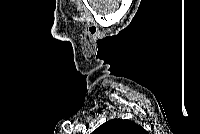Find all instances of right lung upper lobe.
Masks as SVG:
<instances>
[{
    "instance_id": "1",
    "label": "right lung upper lobe",
    "mask_w": 200,
    "mask_h": 134,
    "mask_svg": "<svg viewBox=\"0 0 200 134\" xmlns=\"http://www.w3.org/2000/svg\"><path fill=\"white\" fill-rule=\"evenodd\" d=\"M145 134L146 131L130 120L113 119L98 127L93 134Z\"/></svg>"
}]
</instances>
